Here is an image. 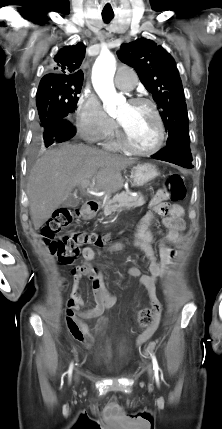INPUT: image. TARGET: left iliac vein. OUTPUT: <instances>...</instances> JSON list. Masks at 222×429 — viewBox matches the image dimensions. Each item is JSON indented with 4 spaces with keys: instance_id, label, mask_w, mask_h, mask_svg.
<instances>
[{
    "instance_id": "left-iliac-vein-1",
    "label": "left iliac vein",
    "mask_w": 222,
    "mask_h": 429,
    "mask_svg": "<svg viewBox=\"0 0 222 429\" xmlns=\"http://www.w3.org/2000/svg\"><path fill=\"white\" fill-rule=\"evenodd\" d=\"M148 375H149L150 379L153 378V370H152V367L150 364L148 365Z\"/></svg>"
}]
</instances>
